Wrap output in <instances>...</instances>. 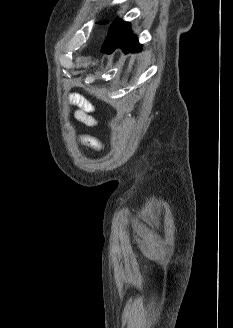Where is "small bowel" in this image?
I'll list each match as a JSON object with an SVG mask.
<instances>
[{"mask_svg": "<svg viewBox=\"0 0 233 328\" xmlns=\"http://www.w3.org/2000/svg\"><path fill=\"white\" fill-rule=\"evenodd\" d=\"M71 100L79 106V110H77L75 113V116L79 121L91 127L98 124L97 119L91 115V113L94 111L92 104L84 100L78 94L72 95Z\"/></svg>", "mask_w": 233, "mask_h": 328, "instance_id": "obj_1", "label": "small bowel"}]
</instances>
